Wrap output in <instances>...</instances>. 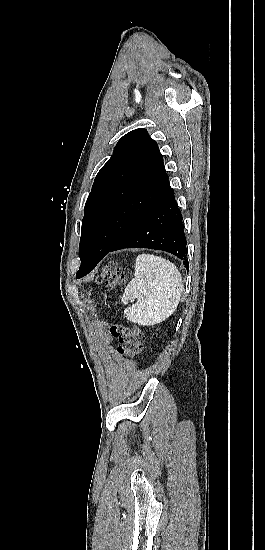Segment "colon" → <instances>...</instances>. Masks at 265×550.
Returning <instances> with one entry per match:
<instances>
[{"label": "colon", "instance_id": "1", "mask_svg": "<svg viewBox=\"0 0 265 550\" xmlns=\"http://www.w3.org/2000/svg\"><path fill=\"white\" fill-rule=\"evenodd\" d=\"M100 280L104 282L108 291L126 282L123 270L114 262L105 265ZM112 336L117 338L116 352L121 357L132 358L143 348L145 336L141 328L136 325L114 323L110 327Z\"/></svg>", "mask_w": 265, "mask_h": 550}]
</instances>
